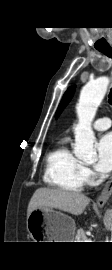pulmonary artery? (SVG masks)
<instances>
[{"label":"pulmonary artery","mask_w":112,"mask_h":270,"mask_svg":"<svg viewBox=\"0 0 112 270\" xmlns=\"http://www.w3.org/2000/svg\"><path fill=\"white\" fill-rule=\"evenodd\" d=\"M111 125H112V121L108 117L99 118L95 120V122L93 123V127L96 130H100V131L110 128Z\"/></svg>","instance_id":"obj_1"}]
</instances>
